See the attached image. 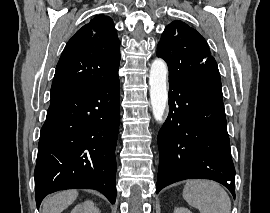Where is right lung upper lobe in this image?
<instances>
[{
	"label": "right lung upper lobe",
	"mask_w": 270,
	"mask_h": 213,
	"mask_svg": "<svg viewBox=\"0 0 270 213\" xmlns=\"http://www.w3.org/2000/svg\"><path fill=\"white\" fill-rule=\"evenodd\" d=\"M119 46L113 20L96 15L66 44L56 67L51 98L85 91L117 78Z\"/></svg>",
	"instance_id": "1"
}]
</instances>
